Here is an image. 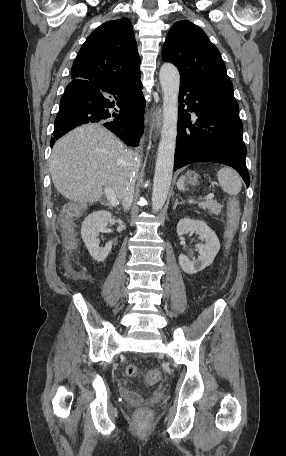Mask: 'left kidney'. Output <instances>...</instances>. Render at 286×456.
<instances>
[{"mask_svg": "<svg viewBox=\"0 0 286 456\" xmlns=\"http://www.w3.org/2000/svg\"><path fill=\"white\" fill-rule=\"evenodd\" d=\"M189 232H195L200 239L206 241L205 244L197 246L200 254L197 259L190 260L184 254L179 256V264L183 271L187 274H195L211 265L220 249V242L215 232L205 222L190 218L181 219L177 224L178 236Z\"/></svg>", "mask_w": 286, "mask_h": 456, "instance_id": "left-kidney-1", "label": "left kidney"}]
</instances>
